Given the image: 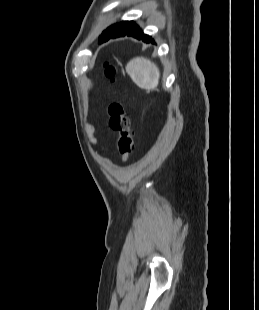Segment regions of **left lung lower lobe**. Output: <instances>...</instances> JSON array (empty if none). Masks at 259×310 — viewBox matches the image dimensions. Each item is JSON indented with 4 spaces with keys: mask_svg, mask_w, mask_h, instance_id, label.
Segmentation results:
<instances>
[{
    "mask_svg": "<svg viewBox=\"0 0 259 310\" xmlns=\"http://www.w3.org/2000/svg\"><path fill=\"white\" fill-rule=\"evenodd\" d=\"M132 36L139 40H143L146 43L154 42L153 39L144 34L143 31L136 25L133 21H122L120 22L116 28L108 34L106 37L100 39V43L109 40L110 38H116L121 36Z\"/></svg>",
    "mask_w": 259,
    "mask_h": 310,
    "instance_id": "obj_1",
    "label": "left lung lower lobe"
}]
</instances>
